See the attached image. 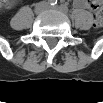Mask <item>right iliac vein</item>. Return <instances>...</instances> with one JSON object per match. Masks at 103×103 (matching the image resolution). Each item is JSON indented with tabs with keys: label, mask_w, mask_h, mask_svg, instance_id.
Returning a JSON list of instances; mask_svg holds the SVG:
<instances>
[{
	"label": "right iliac vein",
	"mask_w": 103,
	"mask_h": 103,
	"mask_svg": "<svg viewBox=\"0 0 103 103\" xmlns=\"http://www.w3.org/2000/svg\"><path fill=\"white\" fill-rule=\"evenodd\" d=\"M46 8H47V6L45 3H39L35 8V13L39 14V13L43 12Z\"/></svg>",
	"instance_id": "obj_1"
}]
</instances>
